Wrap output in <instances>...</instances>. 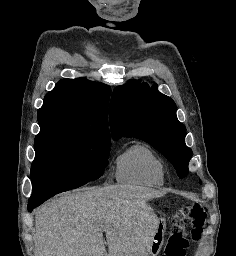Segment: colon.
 <instances>
[{
  "label": "colon",
  "instance_id": "obj_1",
  "mask_svg": "<svg viewBox=\"0 0 236 256\" xmlns=\"http://www.w3.org/2000/svg\"><path fill=\"white\" fill-rule=\"evenodd\" d=\"M185 221L191 222L190 236L192 241L196 244L199 243L207 221L205 207L201 203L195 202L184 206L176 213L163 256H186L189 241L183 229Z\"/></svg>",
  "mask_w": 236,
  "mask_h": 256
}]
</instances>
